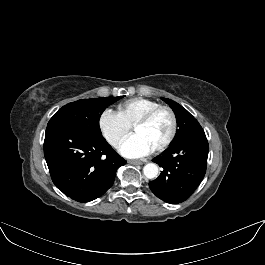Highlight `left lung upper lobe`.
<instances>
[{
	"instance_id": "5c2ea615",
	"label": "left lung upper lobe",
	"mask_w": 265,
	"mask_h": 265,
	"mask_svg": "<svg viewBox=\"0 0 265 265\" xmlns=\"http://www.w3.org/2000/svg\"><path fill=\"white\" fill-rule=\"evenodd\" d=\"M174 111L179 129L172 143L184 140L197 133L204 132L198 121L180 104L168 98H161Z\"/></svg>"
}]
</instances>
